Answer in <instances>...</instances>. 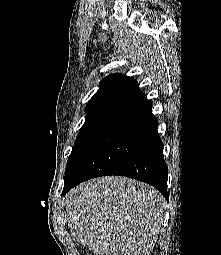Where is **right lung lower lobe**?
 Wrapping results in <instances>:
<instances>
[{
  "label": "right lung lower lobe",
  "mask_w": 221,
  "mask_h": 255,
  "mask_svg": "<svg viewBox=\"0 0 221 255\" xmlns=\"http://www.w3.org/2000/svg\"><path fill=\"white\" fill-rule=\"evenodd\" d=\"M157 125L144 93L117 108L65 176L62 195L94 177L123 175L154 186L168 200V168Z\"/></svg>",
  "instance_id": "right-lung-lower-lobe-1"
}]
</instances>
